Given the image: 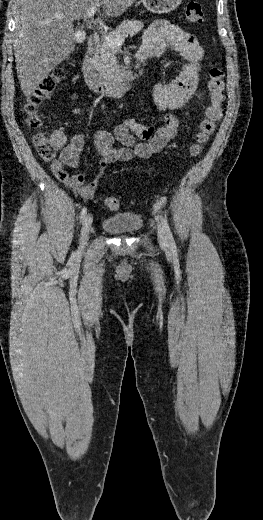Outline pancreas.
Returning a JSON list of instances; mask_svg holds the SVG:
<instances>
[{
	"label": "pancreas",
	"instance_id": "obj_1",
	"mask_svg": "<svg viewBox=\"0 0 263 520\" xmlns=\"http://www.w3.org/2000/svg\"><path fill=\"white\" fill-rule=\"evenodd\" d=\"M144 27L143 22L131 19L124 20L114 31L109 33L110 38H127L138 33ZM99 74L108 81L120 78L122 67L118 64L116 50L110 47L104 39L100 41V51L93 58Z\"/></svg>",
	"mask_w": 263,
	"mask_h": 520
}]
</instances>
